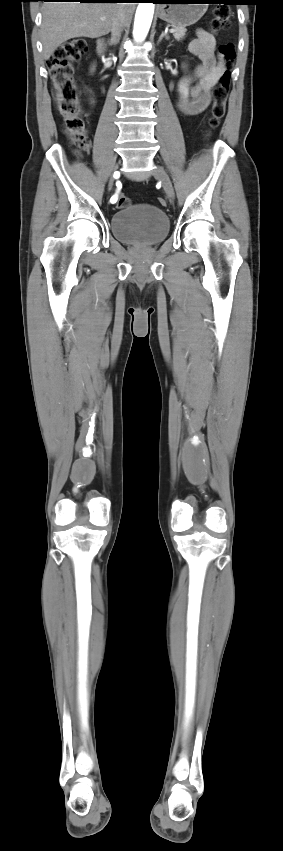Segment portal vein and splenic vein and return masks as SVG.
<instances>
[{"instance_id":"1","label":"portal vein and splenic vein","mask_w":283,"mask_h":851,"mask_svg":"<svg viewBox=\"0 0 283 851\" xmlns=\"http://www.w3.org/2000/svg\"><path fill=\"white\" fill-rule=\"evenodd\" d=\"M102 19H103V18H102ZM169 32H170V33H173V32H174V29H170V30H169Z\"/></svg>"}]
</instances>
